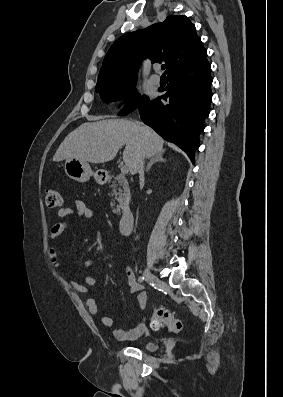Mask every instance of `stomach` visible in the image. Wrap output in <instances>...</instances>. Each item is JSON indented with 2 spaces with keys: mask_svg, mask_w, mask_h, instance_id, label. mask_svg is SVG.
<instances>
[{
  "mask_svg": "<svg viewBox=\"0 0 283 397\" xmlns=\"http://www.w3.org/2000/svg\"><path fill=\"white\" fill-rule=\"evenodd\" d=\"M65 172L67 176L78 182H86L91 176L98 181H102V176L99 172H93L87 161H83L77 158H68L65 161Z\"/></svg>",
  "mask_w": 283,
  "mask_h": 397,
  "instance_id": "0dacf381",
  "label": "stomach"
}]
</instances>
